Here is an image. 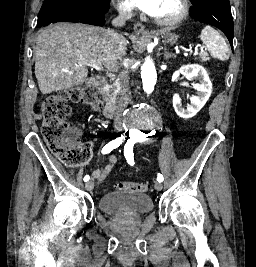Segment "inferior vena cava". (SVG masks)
<instances>
[{"label": "inferior vena cava", "instance_id": "obj_1", "mask_svg": "<svg viewBox=\"0 0 256 267\" xmlns=\"http://www.w3.org/2000/svg\"><path fill=\"white\" fill-rule=\"evenodd\" d=\"M132 18V8L131 6H118V16L112 20V26L115 28H121V26H125L127 20ZM107 36H111L115 42H124L125 38L121 36V34H116L114 30H107ZM121 68H118V84L121 88L120 98L117 104V110L114 114V126L115 128H121L122 126V116L125 112V108H127L129 104V98L127 96L129 92V78L126 70L123 72H119Z\"/></svg>", "mask_w": 256, "mask_h": 267}]
</instances>
